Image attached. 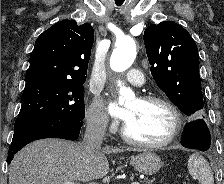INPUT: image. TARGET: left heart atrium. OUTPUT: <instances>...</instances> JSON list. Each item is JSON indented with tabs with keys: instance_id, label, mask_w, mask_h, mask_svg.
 I'll return each mask as SVG.
<instances>
[{
	"instance_id": "left-heart-atrium-1",
	"label": "left heart atrium",
	"mask_w": 224,
	"mask_h": 184,
	"mask_svg": "<svg viewBox=\"0 0 224 184\" xmlns=\"http://www.w3.org/2000/svg\"><path fill=\"white\" fill-rule=\"evenodd\" d=\"M110 110L115 117L123 120L124 122H127L131 116V110L128 107H118L117 105H112Z\"/></svg>"
}]
</instances>
